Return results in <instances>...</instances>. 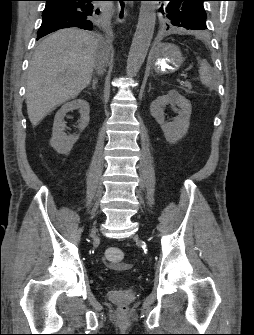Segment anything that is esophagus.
Listing matches in <instances>:
<instances>
[{"instance_id":"obj_1","label":"esophagus","mask_w":254,"mask_h":335,"mask_svg":"<svg viewBox=\"0 0 254 335\" xmlns=\"http://www.w3.org/2000/svg\"><path fill=\"white\" fill-rule=\"evenodd\" d=\"M129 16V11L127 9V5H121L119 6L118 12H117V21L119 23H124L126 18Z\"/></svg>"}]
</instances>
